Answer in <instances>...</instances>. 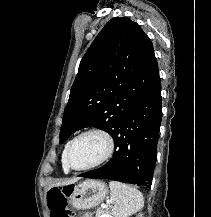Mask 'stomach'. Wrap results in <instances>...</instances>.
Here are the masks:
<instances>
[{"label": "stomach", "instance_id": "obj_1", "mask_svg": "<svg viewBox=\"0 0 211 217\" xmlns=\"http://www.w3.org/2000/svg\"><path fill=\"white\" fill-rule=\"evenodd\" d=\"M70 186V185H68ZM70 202L75 209L84 210L100 204L107 196L108 188L101 180H86L68 188Z\"/></svg>", "mask_w": 211, "mask_h": 217}]
</instances>
